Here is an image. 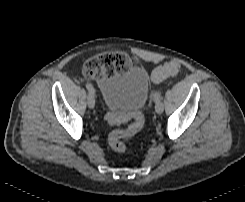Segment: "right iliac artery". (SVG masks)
Here are the masks:
<instances>
[{"label":"right iliac artery","mask_w":245,"mask_h":202,"mask_svg":"<svg viewBox=\"0 0 245 202\" xmlns=\"http://www.w3.org/2000/svg\"><path fill=\"white\" fill-rule=\"evenodd\" d=\"M86 88L89 91V93H92L93 95L95 94V90L90 83H86Z\"/></svg>","instance_id":"82829eb1"}]
</instances>
